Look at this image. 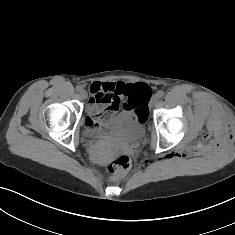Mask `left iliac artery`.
<instances>
[{"label": "left iliac artery", "mask_w": 235, "mask_h": 235, "mask_svg": "<svg viewBox=\"0 0 235 235\" xmlns=\"http://www.w3.org/2000/svg\"><path fill=\"white\" fill-rule=\"evenodd\" d=\"M163 95H164V92H163L162 90H159V91L156 93L157 98H161V97H163Z\"/></svg>", "instance_id": "1"}]
</instances>
